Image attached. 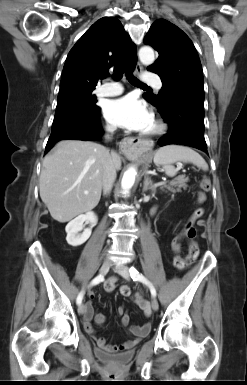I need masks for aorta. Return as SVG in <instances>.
Wrapping results in <instances>:
<instances>
[{
    "label": "aorta",
    "instance_id": "1",
    "mask_svg": "<svg viewBox=\"0 0 247 385\" xmlns=\"http://www.w3.org/2000/svg\"><path fill=\"white\" fill-rule=\"evenodd\" d=\"M139 59L144 65H151L155 60L154 50L149 46L141 47L139 50ZM136 169L134 167H130L127 171H125L122 181L121 188L124 191H128L132 188L136 178Z\"/></svg>",
    "mask_w": 247,
    "mask_h": 385
}]
</instances>
